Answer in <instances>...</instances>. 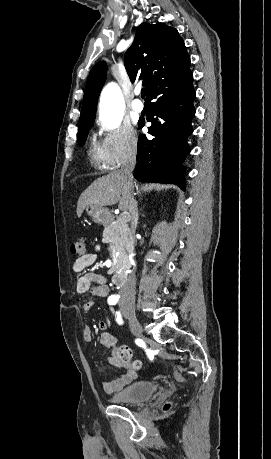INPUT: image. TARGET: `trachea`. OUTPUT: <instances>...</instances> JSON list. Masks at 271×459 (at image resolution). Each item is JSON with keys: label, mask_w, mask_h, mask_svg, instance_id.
<instances>
[{"label": "trachea", "mask_w": 271, "mask_h": 459, "mask_svg": "<svg viewBox=\"0 0 271 459\" xmlns=\"http://www.w3.org/2000/svg\"><path fill=\"white\" fill-rule=\"evenodd\" d=\"M146 95H147V90H146V88H142V90H141V96H142V97H145Z\"/></svg>", "instance_id": "obj_1"}]
</instances>
